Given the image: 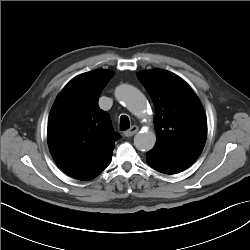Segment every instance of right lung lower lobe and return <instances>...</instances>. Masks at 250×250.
I'll list each match as a JSON object with an SVG mask.
<instances>
[{
  "label": "right lung lower lobe",
  "instance_id": "right-lung-lower-lobe-1",
  "mask_svg": "<svg viewBox=\"0 0 250 250\" xmlns=\"http://www.w3.org/2000/svg\"><path fill=\"white\" fill-rule=\"evenodd\" d=\"M111 160V159H110ZM110 160L102 164L100 167H98L96 170H94L92 173L88 174L81 180H90L98 176L110 163Z\"/></svg>",
  "mask_w": 250,
  "mask_h": 250
}]
</instances>
